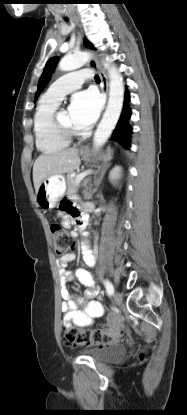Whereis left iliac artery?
<instances>
[{"label": "left iliac artery", "mask_w": 187, "mask_h": 415, "mask_svg": "<svg viewBox=\"0 0 187 415\" xmlns=\"http://www.w3.org/2000/svg\"><path fill=\"white\" fill-rule=\"evenodd\" d=\"M104 285H105L107 294L108 295H113L114 288H113V285L111 284V282H109L108 280H104Z\"/></svg>", "instance_id": "44dca946"}]
</instances>
